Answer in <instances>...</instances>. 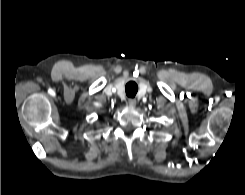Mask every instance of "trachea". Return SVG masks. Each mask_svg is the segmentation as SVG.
Wrapping results in <instances>:
<instances>
[{"mask_svg": "<svg viewBox=\"0 0 245 195\" xmlns=\"http://www.w3.org/2000/svg\"><path fill=\"white\" fill-rule=\"evenodd\" d=\"M138 91V86L134 81H129L125 86L126 95L130 98L135 97Z\"/></svg>", "mask_w": 245, "mask_h": 195, "instance_id": "obj_1", "label": "trachea"}]
</instances>
